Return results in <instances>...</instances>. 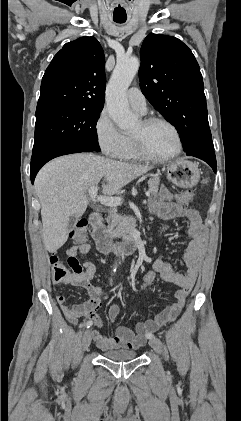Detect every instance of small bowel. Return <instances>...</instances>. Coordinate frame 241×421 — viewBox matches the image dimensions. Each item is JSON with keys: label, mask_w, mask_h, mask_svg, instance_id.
<instances>
[{"label": "small bowel", "mask_w": 241, "mask_h": 421, "mask_svg": "<svg viewBox=\"0 0 241 421\" xmlns=\"http://www.w3.org/2000/svg\"><path fill=\"white\" fill-rule=\"evenodd\" d=\"M150 212L162 219L183 218L187 221L185 230L188 240L183 254V262L186 271L181 272L175 266L164 259L157 258L151 260L154 270L160 277L171 284H175L179 289L175 293L176 301L168 306L162 313L155 318L136 325L133 331L125 326H118L110 336L102 335L98 328L102 326V320L97 315V310L101 305L103 290L100 286L93 284L92 279L96 273L95 265L88 261H83L84 270L79 274L72 276L63 283H71L86 290L89 299L83 303L69 305L63 294L56 296L66 319L73 325L78 323V319L87 316L97 329L92 331L93 340L97 346L104 351L113 349H138L144 346L147 337L151 335L160 326L173 321L181 312L185 302L195 284L198 276L199 266L204 252L206 241V231L202 223L199 212L192 208H185L174 201L171 192L162 188L155 194L149 203ZM90 251V245L84 243L80 246H73L67 250L68 257L79 255L84 257ZM120 307L118 304H112L108 309V319L114 323L118 318Z\"/></svg>", "instance_id": "obj_1"}]
</instances>
